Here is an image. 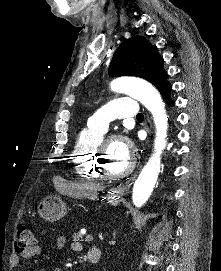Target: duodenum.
Masks as SVG:
<instances>
[{
  "mask_svg": "<svg viewBox=\"0 0 221 271\" xmlns=\"http://www.w3.org/2000/svg\"><path fill=\"white\" fill-rule=\"evenodd\" d=\"M101 258V250L93 248L88 253V259L91 263H97Z\"/></svg>",
  "mask_w": 221,
  "mask_h": 271,
  "instance_id": "410a0bca",
  "label": "duodenum"
}]
</instances>
